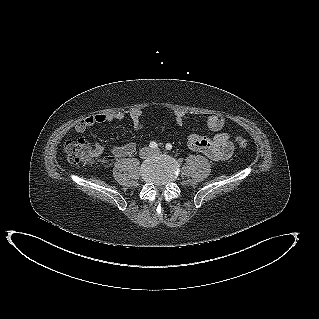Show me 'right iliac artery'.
Masks as SVG:
<instances>
[{
  "mask_svg": "<svg viewBox=\"0 0 319 319\" xmlns=\"http://www.w3.org/2000/svg\"><path fill=\"white\" fill-rule=\"evenodd\" d=\"M149 146H150V148H152V149H156V148L158 147L157 143L154 142V141L150 142Z\"/></svg>",
  "mask_w": 319,
  "mask_h": 319,
  "instance_id": "1",
  "label": "right iliac artery"
}]
</instances>
